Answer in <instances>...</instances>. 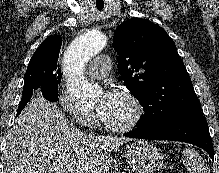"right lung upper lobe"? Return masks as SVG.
<instances>
[{"label": "right lung upper lobe", "mask_w": 219, "mask_h": 173, "mask_svg": "<svg viewBox=\"0 0 219 173\" xmlns=\"http://www.w3.org/2000/svg\"><path fill=\"white\" fill-rule=\"evenodd\" d=\"M61 44L62 38L59 35L55 34L46 38L33 54L29 66L54 68L61 76V69L57 64Z\"/></svg>", "instance_id": "right-lung-upper-lobe-1"}]
</instances>
